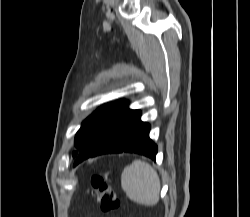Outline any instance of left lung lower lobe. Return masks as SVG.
Returning <instances> with one entry per match:
<instances>
[{
    "instance_id": "obj_1",
    "label": "left lung lower lobe",
    "mask_w": 250,
    "mask_h": 217,
    "mask_svg": "<svg viewBox=\"0 0 250 217\" xmlns=\"http://www.w3.org/2000/svg\"><path fill=\"white\" fill-rule=\"evenodd\" d=\"M140 115L139 110H130L124 102L77 155L74 166L106 153L131 152L155 160L157 145L149 138L150 125L142 122Z\"/></svg>"
}]
</instances>
